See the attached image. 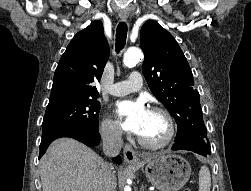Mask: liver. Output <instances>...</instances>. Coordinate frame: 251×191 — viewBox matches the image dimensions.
<instances>
[{
	"instance_id": "6515ba94",
	"label": "liver",
	"mask_w": 251,
	"mask_h": 191,
	"mask_svg": "<svg viewBox=\"0 0 251 191\" xmlns=\"http://www.w3.org/2000/svg\"><path fill=\"white\" fill-rule=\"evenodd\" d=\"M39 173L43 191H115V183H107L111 163L72 137H59L49 145L40 159Z\"/></svg>"
}]
</instances>
